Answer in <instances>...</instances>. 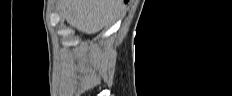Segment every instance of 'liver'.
<instances>
[{"mask_svg":"<svg viewBox=\"0 0 232 96\" xmlns=\"http://www.w3.org/2000/svg\"><path fill=\"white\" fill-rule=\"evenodd\" d=\"M123 0H62L66 21L78 31L94 34L112 24L122 13Z\"/></svg>","mask_w":232,"mask_h":96,"instance_id":"1","label":"liver"}]
</instances>
